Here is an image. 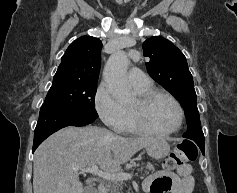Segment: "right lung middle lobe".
Returning <instances> with one entry per match:
<instances>
[{
  "instance_id": "right-lung-middle-lobe-1",
  "label": "right lung middle lobe",
  "mask_w": 237,
  "mask_h": 193,
  "mask_svg": "<svg viewBox=\"0 0 237 193\" xmlns=\"http://www.w3.org/2000/svg\"><path fill=\"white\" fill-rule=\"evenodd\" d=\"M96 89L97 82L54 77L41 108L97 118L94 104Z\"/></svg>"
}]
</instances>
